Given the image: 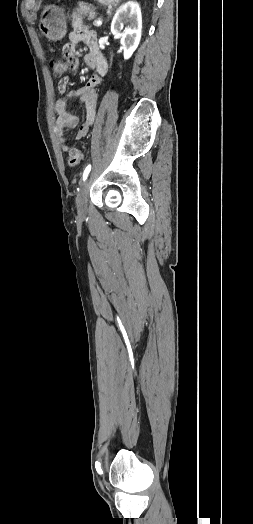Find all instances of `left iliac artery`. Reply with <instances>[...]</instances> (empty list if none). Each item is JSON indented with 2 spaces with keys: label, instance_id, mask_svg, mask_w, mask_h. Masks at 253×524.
I'll return each mask as SVG.
<instances>
[{
  "label": "left iliac artery",
  "instance_id": "obj_1",
  "mask_svg": "<svg viewBox=\"0 0 253 524\" xmlns=\"http://www.w3.org/2000/svg\"><path fill=\"white\" fill-rule=\"evenodd\" d=\"M90 170H91V165H88V166L86 167V169L84 170V173H83V181L86 180V178H87V176H88Z\"/></svg>",
  "mask_w": 253,
  "mask_h": 524
}]
</instances>
